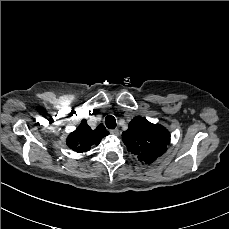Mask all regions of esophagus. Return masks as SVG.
I'll list each match as a JSON object with an SVG mask.
<instances>
[{
	"label": "esophagus",
	"instance_id": "obj_1",
	"mask_svg": "<svg viewBox=\"0 0 229 229\" xmlns=\"http://www.w3.org/2000/svg\"><path fill=\"white\" fill-rule=\"evenodd\" d=\"M110 132H111V134H113L115 136L119 135V130L118 129H112Z\"/></svg>",
	"mask_w": 229,
	"mask_h": 229
}]
</instances>
